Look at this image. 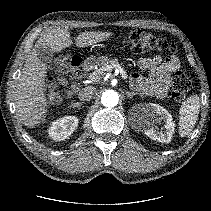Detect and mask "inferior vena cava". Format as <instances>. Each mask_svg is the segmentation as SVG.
<instances>
[{
    "instance_id": "obj_1",
    "label": "inferior vena cava",
    "mask_w": 211,
    "mask_h": 211,
    "mask_svg": "<svg viewBox=\"0 0 211 211\" xmlns=\"http://www.w3.org/2000/svg\"><path fill=\"white\" fill-rule=\"evenodd\" d=\"M95 87L87 86L78 93V99L81 101H90L95 94Z\"/></svg>"
}]
</instances>
